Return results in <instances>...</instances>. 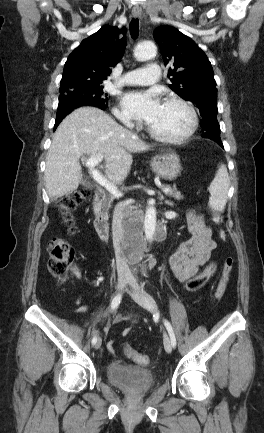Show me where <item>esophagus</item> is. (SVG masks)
Segmentation results:
<instances>
[{
  "mask_svg": "<svg viewBox=\"0 0 264 433\" xmlns=\"http://www.w3.org/2000/svg\"><path fill=\"white\" fill-rule=\"evenodd\" d=\"M142 11L138 5H135L132 9V15L134 17H141Z\"/></svg>",
  "mask_w": 264,
  "mask_h": 433,
  "instance_id": "1",
  "label": "esophagus"
}]
</instances>
